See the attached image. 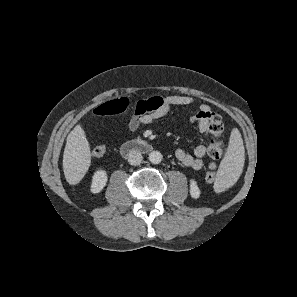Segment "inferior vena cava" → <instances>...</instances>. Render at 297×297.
Returning <instances> with one entry per match:
<instances>
[{"label":"inferior vena cava","mask_w":297,"mask_h":297,"mask_svg":"<svg viewBox=\"0 0 297 297\" xmlns=\"http://www.w3.org/2000/svg\"><path fill=\"white\" fill-rule=\"evenodd\" d=\"M143 160L141 153L137 150H133L128 154V162L131 165H139Z\"/></svg>","instance_id":"inferior-vena-cava-1"}]
</instances>
